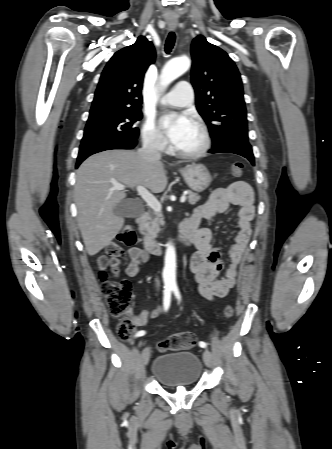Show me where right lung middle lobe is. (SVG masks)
<instances>
[{
    "instance_id": "1",
    "label": "right lung middle lobe",
    "mask_w": 332,
    "mask_h": 449,
    "mask_svg": "<svg viewBox=\"0 0 332 449\" xmlns=\"http://www.w3.org/2000/svg\"><path fill=\"white\" fill-rule=\"evenodd\" d=\"M142 118L140 109L125 108L90 113L81 144L100 139L136 140L135 122Z\"/></svg>"
}]
</instances>
